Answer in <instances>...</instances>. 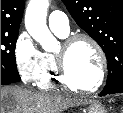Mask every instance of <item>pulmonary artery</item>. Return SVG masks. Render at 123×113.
<instances>
[{"mask_svg":"<svg viewBox=\"0 0 123 113\" xmlns=\"http://www.w3.org/2000/svg\"><path fill=\"white\" fill-rule=\"evenodd\" d=\"M48 25L53 32L66 35L70 30L69 19L61 11H53L48 18Z\"/></svg>","mask_w":123,"mask_h":113,"instance_id":"e3ab8cb5","label":"pulmonary artery"}]
</instances>
